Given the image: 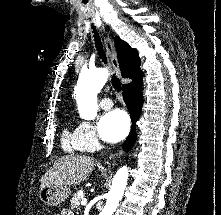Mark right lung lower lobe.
<instances>
[{
	"label": "right lung lower lobe",
	"mask_w": 221,
	"mask_h": 215,
	"mask_svg": "<svg viewBox=\"0 0 221 215\" xmlns=\"http://www.w3.org/2000/svg\"><path fill=\"white\" fill-rule=\"evenodd\" d=\"M142 78L123 87V99L127 105L132 119L131 132L123 144V149L126 152L129 151L134 144L136 129L135 123L141 114V107L143 103Z\"/></svg>",
	"instance_id": "obj_1"
}]
</instances>
